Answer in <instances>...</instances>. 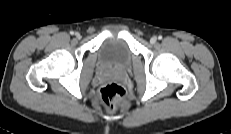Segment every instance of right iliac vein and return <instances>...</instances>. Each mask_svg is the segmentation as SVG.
<instances>
[{
	"label": "right iliac vein",
	"mask_w": 231,
	"mask_h": 134,
	"mask_svg": "<svg viewBox=\"0 0 231 134\" xmlns=\"http://www.w3.org/2000/svg\"><path fill=\"white\" fill-rule=\"evenodd\" d=\"M75 36H76V38H78V39H80V38H81L80 33H75Z\"/></svg>",
	"instance_id": "63e3f726"
}]
</instances>
